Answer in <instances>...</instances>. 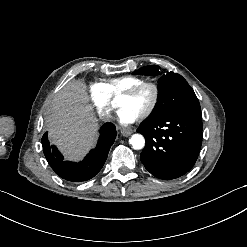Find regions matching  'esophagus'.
<instances>
[{"label": "esophagus", "mask_w": 247, "mask_h": 247, "mask_svg": "<svg viewBox=\"0 0 247 247\" xmlns=\"http://www.w3.org/2000/svg\"><path fill=\"white\" fill-rule=\"evenodd\" d=\"M120 133L122 134V136L128 137L133 133V129H131V128H121L120 129Z\"/></svg>", "instance_id": "34e87169"}]
</instances>
